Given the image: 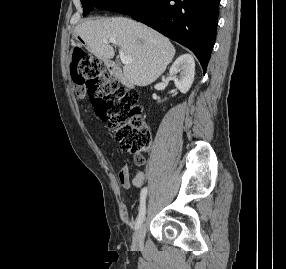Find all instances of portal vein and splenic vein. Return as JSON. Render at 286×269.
Here are the masks:
<instances>
[{
	"mask_svg": "<svg viewBox=\"0 0 286 269\" xmlns=\"http://www.w3.org/2000/svg\"><path fill=\"white\" fill-rule=\"evenodd\" d=\"M103 42H104V43L110 42V43L117 44V43H116V40H115L114 38H110L109 40L104 39ZM119 54H120L121 62H122L124 65H127V64H129V63L132 62V57L126 55L122 50L119 51Z\"/></svg>",
	"mask_w": 286,
	"mask_h": 269,
	"instance_id": "1",
	"label": "portal vein and splenic vein"
}]
</instances>
